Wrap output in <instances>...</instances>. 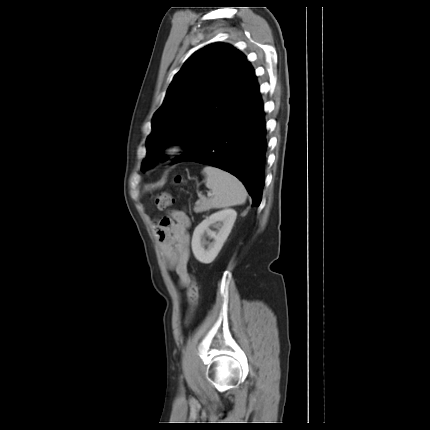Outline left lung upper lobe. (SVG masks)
<instances>
[{"label": "left lung upper lobe", "instance_id": "5c2ea615", "mask_svg": "<svg viewBox=\"0 0 430 430\" xmlns=\"http://www.w3.org/2000/svg\"><path fill=\"white\" fill-rule=\"evenodd\" d=\"M259 88L254 70L234 47L213 43L195 52L175 75L152 120L141 170L173 141L186 147L209 121L223 119Z\"/></svg>", "mask_w": 430, "mask_h": 430}]
</instances>
